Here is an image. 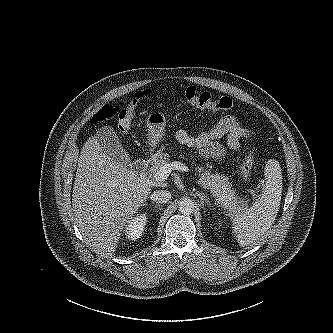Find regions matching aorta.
<instances>
[{
	"mask_svg": "<svg viewBox=\"0 0 333 333\" xmlns=\"http://www.w3.org/2000/svg\"><path fill=\"white\" fill-rule=\"evenodd\" d=\"M195 208L194 202L190 198H183L179 202V211L183 215H190Z\"/></svg>",
	"mask_w": 333,
	"mask_h": 333,
	"instance_id": "1",
	"label": "aorta"
}]
</instances>
